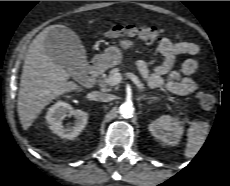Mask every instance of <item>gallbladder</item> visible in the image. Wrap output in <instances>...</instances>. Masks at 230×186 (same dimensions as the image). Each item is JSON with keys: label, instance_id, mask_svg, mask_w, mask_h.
<instances>
[{"label": "gallbladder", "instance_id": "bac80fb5", "mask_svg": "<svg viewBox=\"0 0 230 186\" xmlns=\"http://www.w3.org/2000/svg\"><path fill=\"white\" fill-rule=\"evenodd\" d=\"M48 55L72 76L83 83L87 77L85 50L79 37L67 27H55L48 31L45 38Z\"/></svg>", "mask_w": 230, "mask_h": 186}]
</instances>
